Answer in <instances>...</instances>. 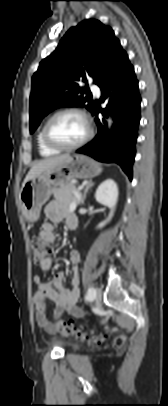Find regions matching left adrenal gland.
<instances>
[{"instance_id": "1", "label": "left adrenal gland", "mask_w": 168, "mask_h": 406, "mask_svg": "<svg viewBox=\"0 0 168 406\" xmlns=\"http://www.w3.org/2000/svg\"><path fill=\"white\" fill-rule=\"evenodd\" d=\"M93 185H94V182H93L92 180H90V181L86 184V187H85L84 192H83V196H82V198H81V205L84 204V201H85V199H86L87 192H88V190H89Z\"/></svg>"}]
</instances>
